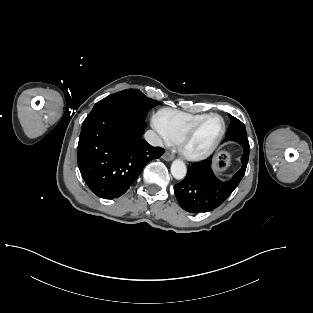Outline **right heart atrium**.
Here are the masks:
<instances>
[{"instance_id": "1", "label": "right heart atrium", "mask_w": 313, "mask_h": 313, "mask_svg": "<svg viewBox=\"0 0 313 313\" xmlns=\"http://www.w3.org/2000/svg\"><path fill=\"white\" fill-rule=\"evenodd\" d=\"M153 124L154 126L158 129V131L161 133V136H162V139L165 143H169V141L166 139V137L162 134V132L159 130V128L157 127V124H156V118H154L153 120Z\"/></svg>"}]
</instances>
